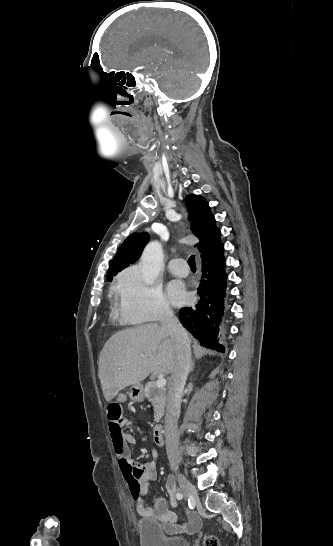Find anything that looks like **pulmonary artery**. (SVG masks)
<instances>
[{
  "mask_svg": "<svg viewBox=\"0 0 333 546\" xmlns=\"http://www.w3.org/2000/svg\"><path fill=\"white\" fill-rule=\"evenodd\" d=\"M168 270L179 277H185L189 273L188 265L182 258H175L169 261Z\"/></svg>",
  "mask_w": 333,
  "mask_h": 546,
  "instance_id": "1",
  "label": "pulmonary artery"
}]
</instances>
